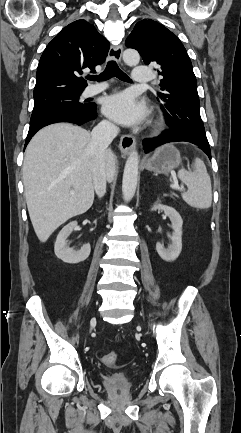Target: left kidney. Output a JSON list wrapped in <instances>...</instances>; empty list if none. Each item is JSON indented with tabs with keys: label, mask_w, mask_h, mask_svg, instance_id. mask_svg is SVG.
Wrapping results in <instances>:
<instances>
[{
	"label": "left kidney",
	"mask_w": 241,
	"mask_h": 433,
	"mask_svg": "<svg viewBox=\"0 0 241 433\" xmlns=\"http://www.w3.org/2000/svg\"><path fill=\"white\" fill-rule=\"evenodd\" d=\"M163 210L165 215L169 217L171 221V227L173 229L172 236L170 237L172 240V244L166 249L164 245L160 242L156 243V250L159 256L166 262L175 261L181 253L182 250V225L183 220L180 214L172 207L165 206L159 203H156L151 208L154 210Z\"/></svg>",
	"instance_id": "left-kidney-1"
}]
</instances>
